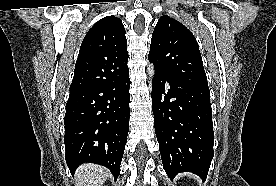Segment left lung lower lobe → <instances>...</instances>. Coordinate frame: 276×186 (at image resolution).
Instances as JSON below:
<instances>
[{
    "label": "left lung lower lobe",
    "instance_id": "1",
    "mask_svg": "<svg viewBox=\"0 0 276 186\" xmlns=\"http://www.w3.org/2000/svg\"><path fill=\"white\" fill-rule=\"evenodd\" d=\"M151 96L156 137L167 175L173 179L188 171L205 180L214 154L209 88L156 70Z\"/></svg>",
    "mask_w": 276,
    "mask_h": 186
}]
</instances>
